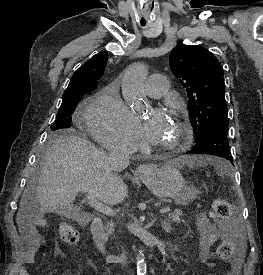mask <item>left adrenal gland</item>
Wrapping results in <instances>:
<instances>
[{"label": "left adrenal gland", "instance_id": "1", "mask_svg": "<svg viewBox=\"0 0 263 275\" xmlns=\"http://www.w3.org/2000/svg\"><path fill=\"white\" fill-rule=\"evenodd\" d=\"M156 219H154L155 221ZM162 227L165 231H169L170 230V223H169V220H165V221H162Z\"/></svg>", "mask_w": 263, "mask_h": 275}]
</instances>
